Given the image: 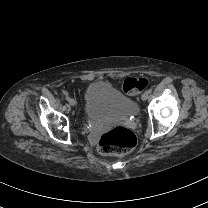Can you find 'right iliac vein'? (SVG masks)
<instances>
[{"instance_id": "obj_1", "label": "right iliac vein", "mask_w": 208, "mask_h": 208, "mask_svg": "<svg viewBox=\"0 0 208 208\" xmlns=\"http://www.w3.org/2000/svg\"><path fill=\"white\" fill-rule=\"evenodd\" d=\"M69 104L71 106H74L76 104V101L74 99H70Z\"/></svg>"}]
</instances>
